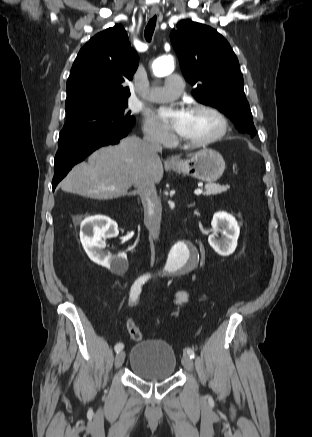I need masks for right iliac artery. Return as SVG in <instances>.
I'll return each instance as SVG.
<instances>
[{
  "label": "right iliac artery",
  "mask_w": 312,
  "mask_h": 437,
  "mask_svg": "<svg viewBox=\"0 0 312 437\" xmlns=\"http://www.w3.org/2000/svg\"><path fill=\"white\" fill-rule=\"evenodd\" d=\"M148 278H149L148 275H143L134 282L130 291V299H129L130 304H132L134 301L138 299L141 293L142 285L148 280ZM123 347H124L123 343H117L115 345V351L118 353L123 349Z\"/></svg>",
  "instance_id": "obj_1"
}]
</instances>
